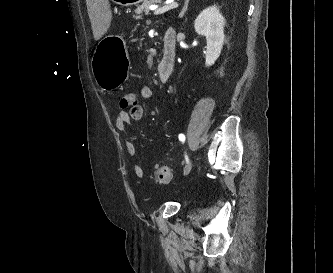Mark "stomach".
Here are the masks:
<instances>
[{"label":"stomach","instance_id":"obj_1","mask_svg":"<svg viewBox=\"0 0 333 273\" xmlns=\"http://www.w3.org/2000/svg\"><path fill=\"white\" fill-rule=\"evenodd\" d=\"M115 3L130 6L138 5L144 0H114ZM129 58L125 53V44L119 36L104 38L95 52L92 71L97 85L102 90L119 87L128 75Z\"/></svg>","mask_w":333,"mask_h":273}]
</instances>
